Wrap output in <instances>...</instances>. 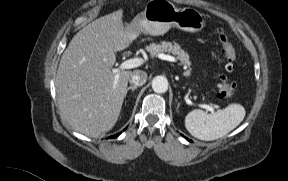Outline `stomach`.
<instances>
[{
  "instance_id": "stomach-1",
  "label": "stomach",
  "mask_w": 288,
  "mask_h": 181,
  "mask_svg": "<svg viewBox=\"0 0 288 181\" xmlns=\"http://www.w3.org/2000/svg\"><path fill=\"white\" fill-rule=\"evenodd\" d=\"M130 26L138 33L163 35L171 27L185 32H199L205 26L203 15L193 8L177 9L168 0H150Z\"/></svg>"
}]
</instances>
